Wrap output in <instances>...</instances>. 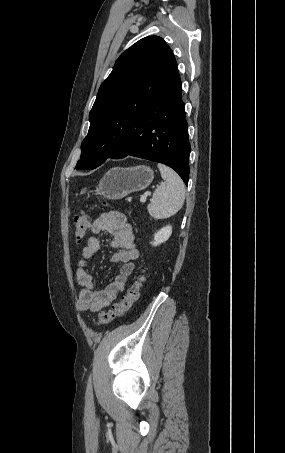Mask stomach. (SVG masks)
<instances>
[{
  "label": "stomach",
  "mask_w": 285,
  "mask_h": 453,
  "mask_svg": "<svg viewBox=\"0 0 285 453\" xmlns=\"http://www.w3.org/2000/svg\"><path fill=\"white\" fill-rule=\"evenodd\" d=\"M154 178L153 170L145 165L108 170L100 180L97 191L109 200H120L132 192L147 188ZM82 193L86 192L84 188Z\"/></svg>",
  "instance_id": "1"
}]
</instances>
